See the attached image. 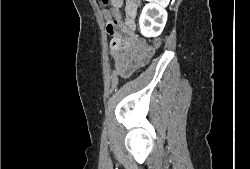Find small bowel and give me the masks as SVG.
I'll list each match as a JSON object with an SVG mask.
<instances>
[{"label":"small bowel","mask_w":250,"mask_h":169,"mask_svg":"<svg viewBox=\"0 0 250 169\" xmlns=\"http://www.w3.org/2000/svg\"><path fill=\"white\" fill-rule=\"evenodd\" d=\"M119 9L120 7L112 6L108 11L109 23L120 20ZM131 23V17L127 16L126 24L131 27ZM110 52L114 61L115 74L127 77L148 61L153 54V49L150 46L140 44L131 34L122 37L116 33L110 44Z\"/></svg>","instance_id":"1"}]
</instances>
